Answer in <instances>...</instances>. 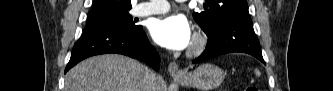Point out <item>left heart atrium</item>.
Segmentation results:
<instances>
[{"label": "left heart atrium", "instance_id": "1", "mask_svg": "<svg viewBox=\"0 0 333 91\" xmlns=\"http://www.w3.org/2000/svg\"><path fill=\"white\" fill-rule=\"evenodd\" d=\"M152 38L170 50H184L192 42V31L188 20L179 14L155 19L150 27Z\"/></svg>", "mask_w": 333, "mask_h": 91}]
</instances>
